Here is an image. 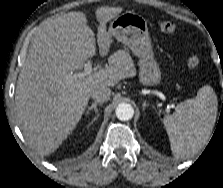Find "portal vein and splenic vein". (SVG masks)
<instances>
[{
    "mask_svg": "<svg viewBox=\"0 0 223 188\" xmlns=\"http://www.w3.org/2000/svg\"><path fill=\"white\" fill-rule=\"evenodd\" d=\"M95 70L92 68V63L90 61L86 62L84 64V71L78 72V73H70L67 75L68 79H79L88 75H91ZM157 94H160L161 98H164L163 94L160 92H157Z\"/></svg>",
    "mask_w": 223,
    "mask_h": 188,
    "instance_id": "18ae733b",
    "label": "portal vein and splenic vein"
}]
</instances>
